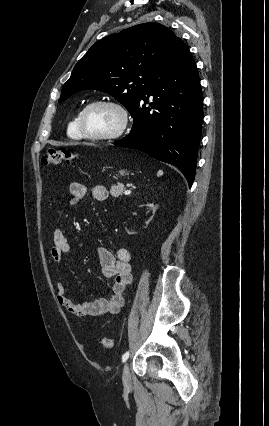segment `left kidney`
I'll return each mask as SVG.
<instances>
[{"mask_svg":"<svg viewBox=\"0 0 269 426\" xmlns=\"http://www.w3.org/2000/svg\"><path fill=\"white\" fill-rule=\"evenodd\" d=\"M142 206L148 207L149 211H151L150 214H149V219L147 221H145V224L147 225L151 221V219H154V215H155L156 210L158 209V205H154L153 203H147V204H144ZM126 232L129 235L135 234L134 230H132V229H126Z\"/></svg>","mask_w":269,"mask_h":426,"instance_id":"1","label":"left kidney"}]
</instances>
